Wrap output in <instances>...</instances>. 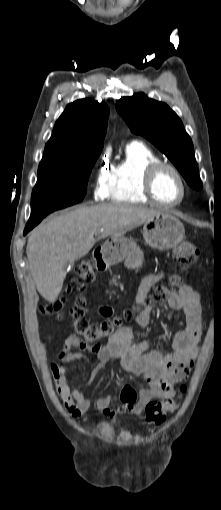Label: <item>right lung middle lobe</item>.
<instances>
[{"label": "right lung middle lobe", "mask_w": 221, "mask_h": 510, "mask_svg": "<svg viewBox=\"0 0 221 510\" xmlns=\"http://www.w3.org/2000/svg\"><path fill=\"white\" fill-rule=\"evenodd\" d=\"M102 148L41 160L31 209L55 211L83 200L89 175Z\"/></svg>", "instance_id": "dd1d6c3e"}]
</instances>
